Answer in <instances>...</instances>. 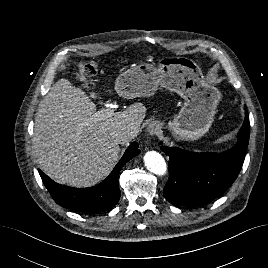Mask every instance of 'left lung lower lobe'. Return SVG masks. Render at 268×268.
I'll list each match as a JSON object with an SVG mask.
<instances>
[{
  "mask_svg": "<svg viewBox=\"0 0 268 268\" xmlns=\"http://www.w3.org/2000/svg\"><path fill=\"white\" fill-rule=\"evenodd\" d=\"M249 116L238 132L237 143L222 153H193L161 146L169 156V181L163 189L168 202L179 206H202L222 195L237 178L249 141Z\"/></svg>",
  "mask_w": 268,
  "mask_h": 268,
  "instance_id": "obj_1",
  "label": "left lung lower lobe"
}]
</instances>
